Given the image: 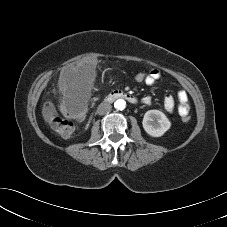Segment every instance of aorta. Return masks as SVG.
Here are the masks:
<instances>
[{"instance_id":"1","label":"aorta","mask_w":227,"mask_h":227,"mask_svg":"<svg viewBox=\"0 0 227 227\" xmlns=\"http://www.w3.org/2000/svg\"><path fill=\"white\" fill-rule=\"evenodd\" d=\"M114 107L117 110H124L126 107V101L124 99H117L114 102Z\"/></svg>"}]
</instances>
